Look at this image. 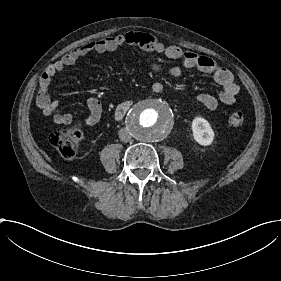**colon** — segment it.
<instances>
[{"mask_svg":"<svg viewBox=\"0 0 281 281\" xmlns=\"http://www.w3.org/2000/svg\"><path fill=\"white\" fill-rule=\"evenodd\" d=\"M244 119L245 116L241 110H233L230 113V122L233 126H241ZM82 130L83 124L81 122H78L75 127L63 128L52 135L51 144L63 158L73 159L77 154Z\"/></svg>","mask_w":281,"mask_h":281,"instance_id":"colon-1","label":"colon"}]
</instances>
